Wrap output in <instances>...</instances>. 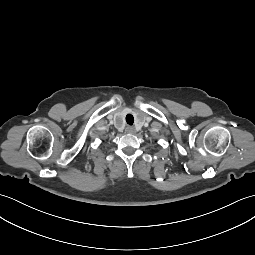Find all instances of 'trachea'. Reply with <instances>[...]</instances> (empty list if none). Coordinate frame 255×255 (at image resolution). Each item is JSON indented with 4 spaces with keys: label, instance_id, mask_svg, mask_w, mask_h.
<instances>
[{
    "label": "trachea",
    "instance_id": "obj_1",
    "mask_svg": "<svg viewBox=\"0 0 255 255\" xmlns=\"http://www.w3.org/2000/svg\"><path fill=\"white\" fill-rule=\"evenodd\" d=\"M126 122H127L129 125H132V124L134 123V117H133V115L128 114V115L126 116Z\"/></svg>",
    "mask_w": 255,
    "mask_h": 255
}]
</instances>
